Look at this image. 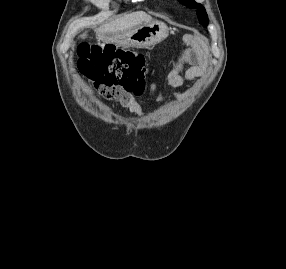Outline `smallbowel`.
I'll use <instances>...</instances> for the list:
<instances>
[{"label":"small bowel","mask_w":286,"mask_h":269,"mask_svg":"<svg viewBox=\"0 0 286 269\" xmlns=\"http://www.w3.org/2000/svg\"><path fill=\"white\" fill-rule=\"evenodd\" d=\"M208 54L202 40L193 39L187 41V47L182 50L172 61L166 79L170 86L180 87L185 82L198 78L206 72ZM130 111L143 116V106L135 100L131 91L117 88L111 97Z\"/></svg>","instance_id":"obj_1"}]
</instances>
